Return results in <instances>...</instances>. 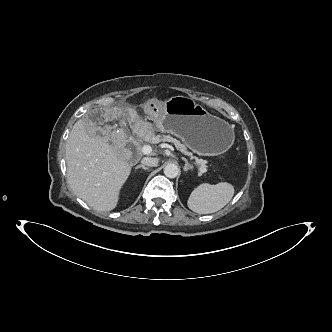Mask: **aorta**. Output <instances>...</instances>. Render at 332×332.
<instances>
[{
  "label": "aorta",
  "mask_w": 332,
  "mask_h": 332,
  "mask_svg": "<svg viewBox=\"0 0 332 332\" xmlns=\"http://www.w3.org/2000/svg\"><path fill=\"white\" fill-rule=\"evenodd\" d=\"M164 174L168 178H176L179 174V168L176 164L169 163L164 168Z\"/></svg>",
  "instance_id": "obj_1"
}]
</instances>
